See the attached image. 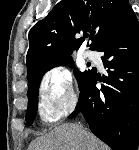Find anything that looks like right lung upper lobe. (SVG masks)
<instances>
[{"mask_svg":"<svg viewBox=\"0 0 139 150\" xmlns=\"http://www.w3.org/2000/svg\"><path fill=\"white\" fill-rule=\"evenodd\" d=\"M128 0H63L30 30L26 56L28 79L40 68L78 49L91 32V50H97L131 10Z\"/></svg>","mask_w":139,"mask_h":150,"instance_id":"cb5924a9","label":"right lung upper lobe"}]
</instances>
